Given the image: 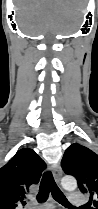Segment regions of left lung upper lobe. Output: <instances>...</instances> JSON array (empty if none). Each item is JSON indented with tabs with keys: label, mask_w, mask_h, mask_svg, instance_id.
Here are the masks:
<instances>
[{
	"label": "left lung upper lobe",
	"mask_w": 98,
	"mask_h": 209,
	"mask_svg": "<svg viewBox=\"0 0 98 209\" xmlns=\"http://www.w3.org/2000/svg\"><path fill=\"white\" fill-rule=\"evenodd\" d=\"M61 166L64 172L74 176L82 193L90 194V200L98 209V155L78 143L70 145L63 156ZM87 204L88 209L91 205Z\"/></svg>",
	"instance_id": "obj_1"
}]
</instances>
